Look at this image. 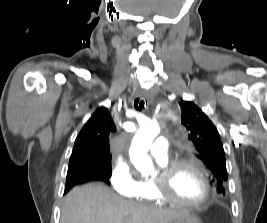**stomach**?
<instances>
[{
	"label": "stomach",
	"instance_id": "stomach-1",
	"mask_svg": "<svg viewBox=\"0 0 267 223\" xmlns=\"http://www.w3.org/2000/svg\"><path fill=\"white\" fill-rule=\"evenodd\" d=\"M169 223H201V222L196 216L187 212L184 216L176 218L170 221Z\"/></svg>",
	"mask_w": 267,
	"mask_h": 223
}]
</instances>
